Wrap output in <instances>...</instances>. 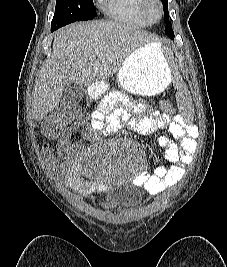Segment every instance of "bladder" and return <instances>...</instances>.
Listing matches in <instances>:
<instances>
[{
  "label": "bladder",
  "instance_id": "1",
  "mask_svg": "<svg viewBox=\"0 0 227 267\" xmlns=\"http://www.w3.org/2000/svg\"><path fill=\"white\" fill-rule=\"evenodd\" d=\"M122 195L116 196L110 194L99 202V207L102 210L109 212H122L135 208L141 203V199L137 194L127 193L128 190L121 189Z\"/></svg>",
  "mask_w": 227,
  "mask_h": 267
}]
</instances>
